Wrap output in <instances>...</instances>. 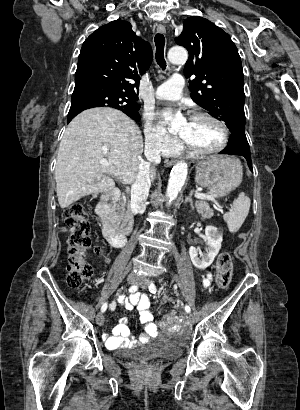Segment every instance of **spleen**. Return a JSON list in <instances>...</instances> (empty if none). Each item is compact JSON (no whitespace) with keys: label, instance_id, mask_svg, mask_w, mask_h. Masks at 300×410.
<instances>
[{"label":"spleen","instance_id":"3e777b00","mask_svg":"<svg viewBox=\"0 0 300 410\" xmlns=\"http://www.w3.org/2000/svg\"><path fill=\"white\" fill-rule=\"evenodd\" d=\"M249 209L250 199L244 193L239 194L238 198L233 202V209L223 215V219L231 233L239 230L249 213Z\"/></svg>","mask_w":300,"mask_h":410}]
</instances>
